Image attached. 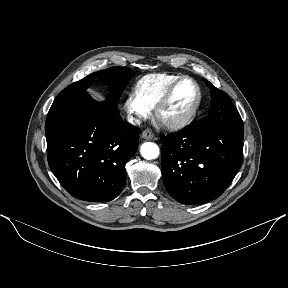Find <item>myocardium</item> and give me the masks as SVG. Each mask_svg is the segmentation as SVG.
Segmentation results:
<instances>
[{
    "label": "myocardium",
    "instance_id": "1",
    "mask_svg": "<svg viewBox=\"0 0 288 288\" xmlns=\"http://www.w3.org/2000/svg\"><path fill=\"white\" fill-rule=\"evenodd\" d=\"M184 80L191 81L193 85L195 86L196 88L195 100L184 115L172 121H165L163 119V112L166 109V107L169 105V103L171 102L176 88ZM201 101H202V90L198 82L190 76L183 75L177 78L166 90L165 94L163 95V97L160 99V101L156 105L155 114L157 118L161 120L165 124V126L168 127L169 129H173V130L182 129L188 126L194 120L200 108Z\"/></svg>",
    "mask_w": 288,
    "mask_h": 288
}]
</instances>
